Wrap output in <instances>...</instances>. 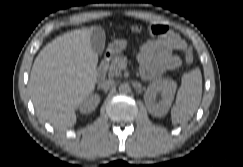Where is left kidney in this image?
<instances>
[{"label":"left kidney","instance_id":"left-kidney-1","mask_svg":"<svg viewBox=\"0 0 243 167\" xmlns=\"http://www.w3.org/2000/svg\"><path fill=\"white\" fill-rule=\"evenodd\" d=\"M175 91L176 83L172 80L151 83L144 94V101L149 113L157 117L164 116L172 104ZM157 92H161L162 100L155 104L153 99Z\"/></svg>","mask_w":243,"mask_h":167}]
</instances>
